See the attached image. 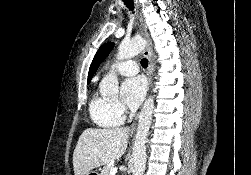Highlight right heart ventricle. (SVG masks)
Here are the masks:
<instances>
[{"label": "right heart ventricle", "instance_id": "e07e8e85", "mask_svg": "<svg viewBox=\"0 0 251 175\" xmlns=\"http://www.w3.org/2000/svg\"><path fill=\"white\" fill-rule=\"evenodd\" d=\"M112 103L105 97L94 92L89 104L88 112L91 119L100 127L115 128L119 126L120 121L114 115Z\"/></svg>", "mask_w": 251, "mask_h": 175}]
</instances>
